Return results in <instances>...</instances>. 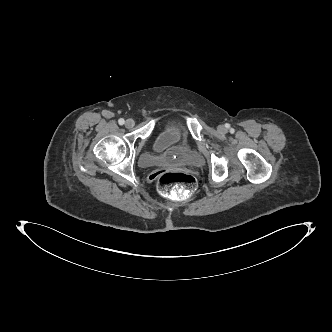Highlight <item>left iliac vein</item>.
I'll return each instance as SVG.
<instances>
[{
  "label": "left iliac vein",
  "mask_w": 332,
  "mask_h": 332,
  "mask_svg": "<svg viewBox=\"0 0 332 332\" xmlns=\"http://www.w3.org/2000/svg\"><path fill=\"white\" fill-rule=\"evenodd\" d=\"M218 131H219V132H221V133H223V132H225V131H226V129H225V127H224V126H222V125H219V126H218Z\"/></svg>",
  "instance_id": "1"
}]
</instances>
